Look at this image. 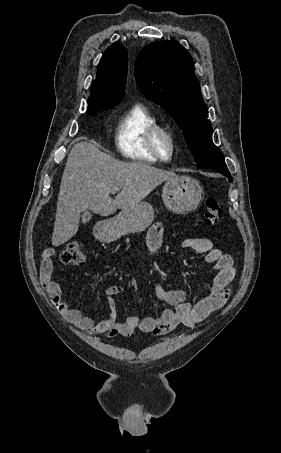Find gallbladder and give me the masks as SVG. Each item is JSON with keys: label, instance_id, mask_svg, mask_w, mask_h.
<instances>
[{"label": "gallbladder", "instance_id": "1", "mask_svg": "<svg viewBox=\"0 0 281 453\" xmlns=\"http://www.w3.org/2000/svg\"><path fill=\"white\" fill-rule=\"evenodd\" d=\"M92 214H90V212H84V214H82V222H87V220H90Z\"/></svg>", "mask_w": 281, "mask_h": 453}]
</instances>
